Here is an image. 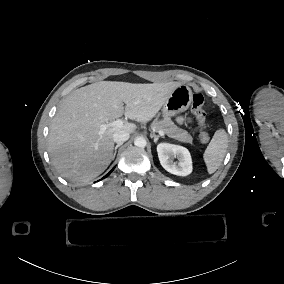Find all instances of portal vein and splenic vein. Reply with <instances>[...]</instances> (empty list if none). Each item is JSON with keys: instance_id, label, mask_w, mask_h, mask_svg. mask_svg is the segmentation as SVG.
<instances>
[{"instance_id": "18ae733b", "label": "portal vein and splenic vein", "mask_w": 284, "mask_h": 284, "mask_svg": "<svg viewBox=\"0 0 284 284\" xmlns=\"http://www.w3.org/2000/svg\"><path fill=\"white\" fill-rule=\"evenodd\" d=\"M122 125V120L120 119H116L112 122H106V123H100L99 126H100V132H104L106 131L108 128H112V127H119ZM159 134L161 136H165V133L163 131H160Z\"/></svg>"}]
</instances>
